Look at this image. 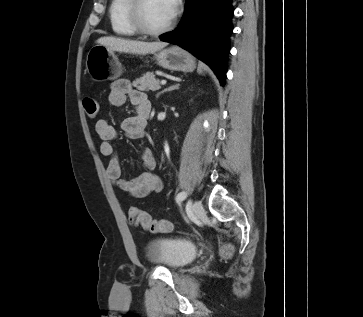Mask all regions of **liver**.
Wrapping results in <instances>:
<instances>
[{"instance_id": "liver-1", "label": "liver", "mask_w": 363, "mask_h": 317, "mask_svg": "<svg viewBox=\"0 0 363 317\" xmlns=\"http://www.w3.org/2000/svg\"><path fill=\"white\" fill-rule=\"evenodd\" d=\"M96 43L113 51L139 55L155 53L167 46L166 42L134 41L110 36L101 37L96 41Z\"/></svg>"}]
</instances>
